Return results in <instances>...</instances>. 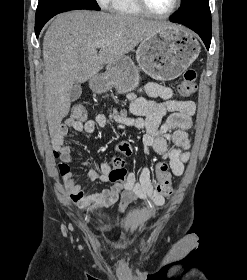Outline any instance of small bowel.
Instances as JSON below:
<instances>
[{"label":"small bowel","mask_w":247,"mask_h":280,"mask_svg":"<svg viewBox=\"0 0 247 280\" xmlns=\"http://www.w3.org/2000/svg\"><path fill=\"white\" fill-rule=\"evenodd\" d=\"M138 93H144L149 98L139 96ZM156 98L161 101L155 100ZM129 100L132 116L111 112L108 115L98 114L86 121L68 117L53 130L52 144L61 162L59 168L64 187L70 199L81 209L94 212L109 208L119 201L118 211L123 213L131 205L147 198L154 205L161 206L164 203V196L154 190L147 164L138 172L128 173L126 185L121 191H111L107 187L98 193L85 194L70 169L73 155L70 145L65 140L69 130L92 133L97 127H106L109 120L115 122L119 129L143 130L144 152L148 154L152 150L167 161L166 164L174 176H180L184 171V165L189 159L188 132L193 127L195 103L178 98L171 88L155 82H148L137 92L131 93ZM165 116L167 118L163 121ZM83 164L87 168L89 180L110 182L109 173L112 167L108 163H103L99 167H92L88 162Z\"/></svg>","instance_id":"1"}]
</instances>
